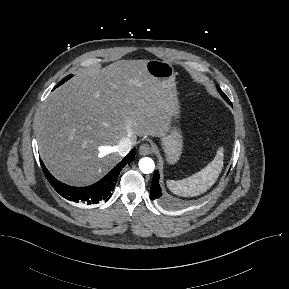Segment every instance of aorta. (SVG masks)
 Instances as JSON below:
<instances>
[{
    "instance_id": "aorta-1",
    "label": "aorta",
    "mask_w": 289,
    "mask_h": 289,
    "mask_svg": "<svg viewBox=\"0 0 289 289\" xmlns=\"http://www.w3.org/2000/svg\"><path fill=\"white\" fill-rule=\"evenodd\" d=\"M155 168V164L154 161L149 158V157H144L142 159H140L139 161V169L145 173V174H149L152 173L154 171Z\"/></svg>"
}]
</instances>
